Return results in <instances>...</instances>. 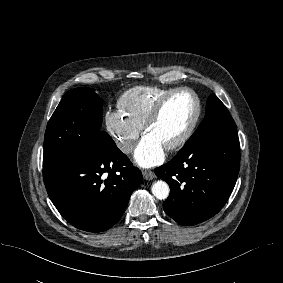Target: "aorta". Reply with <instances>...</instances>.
Listing matches in <instances>:
<instances>
[{
    "instance_id": "1",
    "label": "aorta",
    "mask_w": 283,
    "mask_h": 283,
    "mask_svg": "<svg viewBox=\"0 0 283 283\" xmlns=\"http://www.w3.org/2000/svg\"><path fill=\"white\" fill-rule=\"evenodd\" d=\"M152 193L153 195L159 199L164 200L169 196V186L165 181L158 180L152 185Z\"/></svg>"
}]
</instances>
